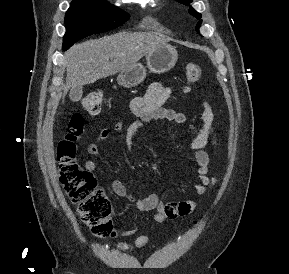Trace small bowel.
Returning <instances> with one entry per match:
<instances>
[{
  "label": "small bowel",
  "mask_w": 289,
  "mask_h": 274,
  "mask_svg": "<svg viewBox=\"0 0 289 274\" xmlns=\"http://www.w3.org/2000/svg\"><path fill=\"white\" fill-rule=\"evenodd\" d=\"M172 88L160 82H154L149 85L146 92L136 98L132 103V110L138 118L136 122L125 127L123 122H117L114 130L122 132L126 130L127 137H131L137 128L143 124L153 120H167L178 124L186 122L187 118L183 113L165 106V103L172 95ZM203 110L200 115V127L195 134H192L187 149L193 156L197 165L198 182L193 187L195 195H204L208 188L216 184V176H209L210 156L205 150L207 145L217 146V139L214 133V111L208 100L202 101ZM111 135L109 129H103L97 137L98 143H92L88 146L87 151L91 155H98L102 151L99 142L108 139ZM216 153V152H215ZM84 167L87 171L96 170L97 164L94 160H86ZM112 190L120 197L126 198L133 202L135 207L140 211H156L154 221L162 223L166 220H174L180 217L188 216L193 213L199 205V201L192 197H188L179 202H163L155 193L146 194L143 199H136L133 194L126 188L120 180L112 182ZM136 233L132 229H116L111 232L113 237H130ZM150 238L147 235H139L131 243L120 241L115 247L122 251L138 249L147 245Z\"/></svg>",
  "instance_id": "small-bowel-1"
}]
</instances>
